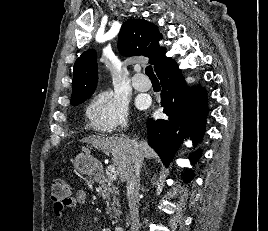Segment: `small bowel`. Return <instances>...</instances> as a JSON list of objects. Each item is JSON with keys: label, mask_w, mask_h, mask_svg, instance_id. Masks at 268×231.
Segmentation results:
<instances>
[{"label": "small bowel", "mask_w": 268, "mask_h": 231, "mask_svg": "<svg viewBox=\"0 0 268 231\" xmlns=\"http://www.w3.org/2000/svg\"><path fill=\"white\" fill-rule=\"evenodd\" d=\"M87 198V194L84 190L79 189L75 192L74 196L71 198L67 208H74L76 206L82 205L85 203ZM65 211V209H63L62 207H58L57 205L54 206V213L56 215H62L63 212Z\"/></svg>", "instance_id": "1"}]
</instances>
